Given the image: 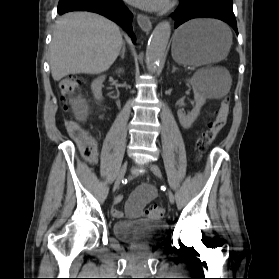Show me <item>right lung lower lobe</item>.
Returning a JSON list of instances; mask_svg holds the SVG:
<instances>
[{
	"mask_svg": "<svg viewBox=\"0 0 279 279\" xmlns=\"http://www.w3.org/2000/svg\"><path fill=\"white\" fill-rule=\"evenodd\" d=\"M70 11H90L99 13L120 24L135 41L132 31V14L121 0H60L58 13L64 14Z\"/></svg>",
	"mask_w": 279,
	"mask_h": 279,
	"instance_id": "obj_1",
	"label": "right lung lower lobe"
}]
</instances>
